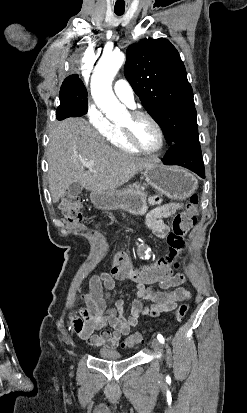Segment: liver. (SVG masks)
I'll return each mask as SVG.
<instances>
[{
    "instance_id": "1",
    "label": "liver",
    "mask_w": 247,
    "mask_h": 413,
    "mask_svg": "<svg viewBox=\"0 0 247 413\" xmlns=\"http://www.w3.org/2000/svg\"><path fill=\"white\" fill-rule=\"evenodd\" d=\"M49 136L48 182L53 202H59L72 182L94 192L116 190L152 162L112 148L85 118L57 120ZM81 160H94V166L84 170Z\"/></svg>"
}]
</instances>
